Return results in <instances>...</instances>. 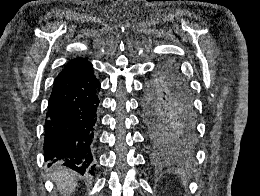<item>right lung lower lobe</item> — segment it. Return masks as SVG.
I'll use <instances>...</instances> for the list:
<instances>
[{"label": "right lung lower lobe", "mask_w": 260, "mask_h": 196, "mask_svg": "<svg viewBox=\"0 0 260 196\" xmlns=\"http://www.w3.org/2000/svg\"><path fill=\"white\" fill-rule=\"evenodd\" d=\"M101 84L91 68L55 80L45 121L44 158L93 175L98 91Z\"/></svg>", "instance_id": "1"}]
</instances>
